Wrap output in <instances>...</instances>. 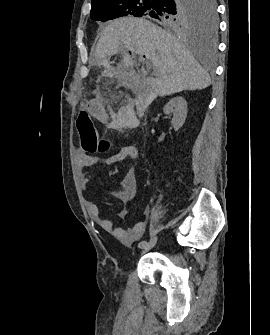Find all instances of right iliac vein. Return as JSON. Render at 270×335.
<instances>
[{"mask_svg": "<svg viewBox=\"0 0 270 335\" xmlns=\"http://www.w3.org/2000/svg\"><path fill=\"white\" fill-rule=\"evenodd\" d=\"M157 240H158L157 236H154L153 238H151L150 241L148 242V244L145 247L141 248L142 252H146V251L152 249L155 246Z\"/></svg>", "mask_w": 270, "mask_h": 335, "instance_id": "obj_1", "label": "right iliac vein"}]
</instances>
